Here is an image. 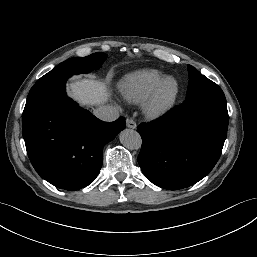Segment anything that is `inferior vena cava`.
<instances>
[{
  "mask_svg": "<svg viewBox=\"0 0 257 257\" xmlns=\"http://www.w3.org/2000/svg\"><path fill=\"white\" fill-rule=\"evenodd\" d=\"M94 115L102 121L112 122L119 117V111L113 106H102L94 110Z\"/></svg>",
  "mask_w": 257,
  "mask_h": 257,
  "instance_id": "602c4592",
  "label": "inferior vena cava"
}]
</instances>
